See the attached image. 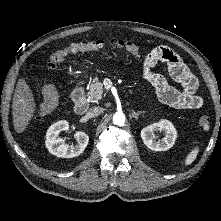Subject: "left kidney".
<instances>
[{
    "instance_id": "obj_1",
    "label": "left kidney",
    "mask_w": 221,
    "mask_h": 221,
    "mask_svg": "<svg viewBox=\"0 0 221 221\" xmlns=\"http://www.w3.org/2000/svg\"><path fill=\"white\" fill-rule=\"evenodd\" d=\"M160 131L164 132V137L155 140L154 133ZM141 137L144 144L153 151H166L170 149L176 140L177 132L173 124L168 120H161L158 123H153L141 130Z\"/></svg>"
}]
</instances>
